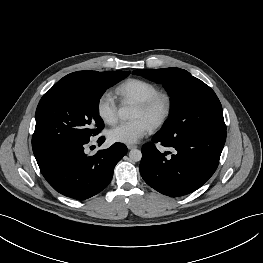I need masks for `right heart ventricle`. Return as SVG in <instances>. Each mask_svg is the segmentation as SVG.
<instances>
[{"instance_id": "e07e8e85", "label": "right heart ventricle", "mask_w": 263, "mask_h": 263, "mask_svg": "<svg viewBox=\"0 0 263 263\" xmlns=\"http://www.w3.org/2000/svg\"><path fill=\"white\" fill-rule=\"evenodd\" d=\"M158 91L159 88L152 82L137 78L128 79L115 88V94L123 103L133 104L148 99Z\"/></svg>"}]
</instances>
